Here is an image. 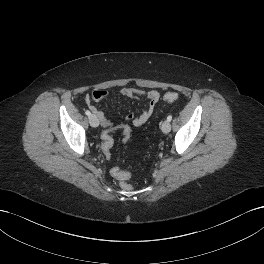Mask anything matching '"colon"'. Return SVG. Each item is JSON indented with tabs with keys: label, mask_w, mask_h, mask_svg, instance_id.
Instances as JSON below:
<instances>
[{
	"label": "colon",
	"mask_w": 264,
	"mask_h": 264,
	"mask_svg": "<svg viewBox=\"0 0 264 264\" xmlns=\"http://www.w3.org/2000/svg\"><path fill=\"white\" fill-rule=\"evenodd\" d=\"M179 99V95L175 92H168L164 94L163 100L166 102H175ZM130 134L126 135V140L128 139ZM102 139V147L105 153L109 154L110 149L112 148L114 144L113 137L111 135L110 130H106L102 133L101 136ZM130 173L125 172L123 170H118L115 172L114 177L121 181L120 186L123 190L130 191L132 189V186L126 182L130 178Z\"/></svg>",
	"instance_id": "colon-1"
}]
</instances>
